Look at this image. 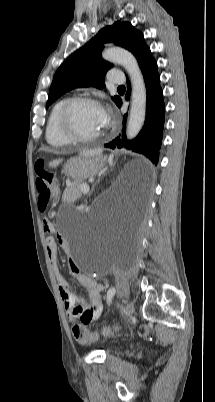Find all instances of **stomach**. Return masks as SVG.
<instances>
[{
    "label": "stomach",
    "instance_id": "obj_1",
    "mask_svg": "<svg viewBox=\"0 0 215 402\" xmlns=\"http://www.w3.org/2000/svg\"><path fill=\"white\" fill-rule=\"evenodd\" d=\"M104 162L103 159L84 155L67 161L62 173L75 181L82 182L89 177L95 176L103 167Z\"/></svg>",
    "mask_w": 215,
    "mask_h": 402
}]
</instances>
